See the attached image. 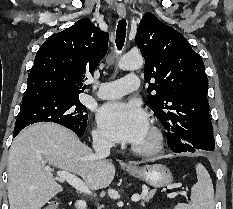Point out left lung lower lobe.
<instances>
[{"instance_id": "obj_1", "label": "left lung lower lobe", "mask_w": 233, "mask_h": 209, "mask_svg": "<svg viewBox=\"0 0 233 209\" xmlns=\"http://www.w3.org/2000/svg\"><path fill=\"white\" fill-rule=\"evenodd\" d=\"M168 146L171 148L173 152L181 153V152H195V151H203L208 152L205 149H196L192 146L189 141L182 139L181 137L175 135L173 132H166Z\"/></svg>"}]
</instances>
